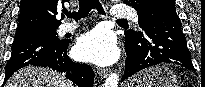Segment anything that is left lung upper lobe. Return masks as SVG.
<instances>
[{"instance_id": "left-lung-upper-lobe-1", "label": "left lung upper lobe", "mask_w": 205, "mask_h": 87, "mask_svg": "<svg viewBox=\"0 0 205 87\" xmlns=\"http://www.w3.org/2000/svg\"><path fill=\"white\" fill-rule=\"evenodd\" d=\"M125 3L134 7L138 11L140 26L144 23V18L152 13L162 10H175L174 0H126ZM124 34L128 40L140 37L142 32L128 30Z\"/></svg>"}]
</instances>
